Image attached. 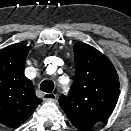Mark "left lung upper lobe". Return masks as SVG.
<instances>
[{
	"instance_id": "left-lung-upper-lobe-1",
	"label": "left lung upper lobe",
	"mask_w": 131,
	"mask_h": 131,
	"mask_svg": "<svg viewBox=\"0 0 131 131\" xmlns=\"http://www.w3.org/2000/svg\"><path fill=\"white\" fill-rule=\"evenodd\" d=\"M75 80L59 104L72 124L86 131L109 118L119 97V79L112 63L83 42L74 45Z\"/></svg>"
}]
</instances>
